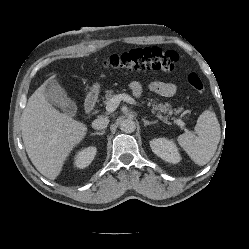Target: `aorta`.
<instances>
[{"instance_id":"aorta-1","label":"aorta","mask_w":249,"mask_h":249,"mask_svg":"<svg viewBox=\"0 0 249 249\" xmlns=\"http://www.w3.org/2000/svg\"><path fill=\"white\" fill-rule=\"evenodd\" d=\"M120 129L125 133H132L136 129V124L132 119H124L120 123Z\"/></svg>"}]
</instances>
